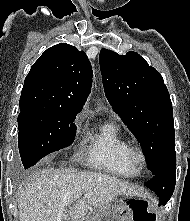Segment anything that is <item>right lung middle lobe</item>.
I'll return each instance as SVG.
<instances>
[{"label": "right lung middle lobe", "mask_w": 190, "mask_h": 221, "mask_svg": "<svg viewBox=\"0 0 190 221\" xmlns=\"http://www.w3.org/2000/svg\"><path fill=\"white\" fill-rule=\"evenodd\" d=\"M77 113L33 109L18 115V147L24 168L44 156L71 145L76 135Z\"/></svg>", "instance_id": "right-lung-middle-lobe-1"}]
</instances>
